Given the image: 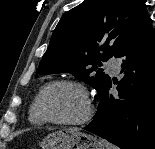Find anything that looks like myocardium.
Returning <instances> with one entry per match:
<instances>
[{"label":"myocardium","instance_id":"f54148a6","mask_svg":"<svg viewBox=\"0 0 155 149\" xmlns=\"http://www.w3.org/2000/svg\"><path fill=\"white\" fill-rule=\"evenodd\" d=\"M56 85H69V86H73L79 90V92L81 93V95L84 99V104H85L84 113L80 118L75 119V120H57V119L51 118L45 112V110L43 108V104H42L43 97H44L46 91L50 87L56 86ZM36 110H37L38 114L40 115V117L45 122L55 124V125H61V126L82 125V124L86 123L87 121H89L93 115V105H92L91 98H90V95H89V92H88V89L86 88V86L78 80L66 79V78L50 81V82L46 83L41 88L40 92L38 93V95L36 97Z\"/></svg>","mask_w":155,"mask_h":149}]
</instances>
